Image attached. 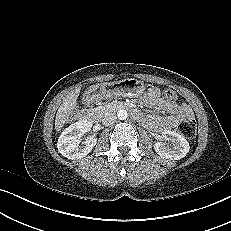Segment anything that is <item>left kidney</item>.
Returning a JSON list of instances; mask_svg holds the SVG:
<instances>
[{
    "mask_svg": "<svg viewBox=\"0 0 231 231\" xmlns=\"http://www.w3.org/2000/svg\"><path fill=\"white\" fill-rule=\"evenodd\" d=\"M166 142H171V144ZM189 149L190 146L185 137L171 130H164L161 141L154 144L155 152L162 158L169 160H180L184 158L189 152Z\"/></svg>",
    "mask_w": 231,
    "mask_h": 231,
    "instance_id": "left-kidney-1",
    "label": "left kidney"
}]
</instances>
